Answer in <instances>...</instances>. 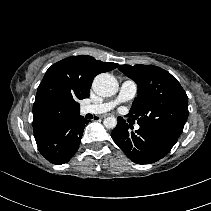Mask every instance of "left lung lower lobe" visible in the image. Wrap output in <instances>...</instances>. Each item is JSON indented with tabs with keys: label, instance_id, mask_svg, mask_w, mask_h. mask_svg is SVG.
<instances>
[{
	"label": "left lung lower lobe",
	"instance_id": "1",
	"mask_svg": "<svg viewBox=\"0 0 211 211\" xmlns=\"http://www.w3.org/2000/svg\"><path fill=\"white\" fill-rule=\"evenodd\" d=\"M117 119L118 124L113 129L111 137L128 158L137 164L154 163L165 157L174 146L147 128L140 127L135 132H131V127L123 118Z\"/></svg>",
	"mask_w": 211,
	"mask_h": 211
}]
</instances>
